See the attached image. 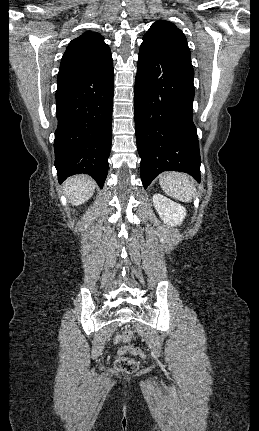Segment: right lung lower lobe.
Returning a JSON list of instances; mask_svg holds the SVG:
<instances>
[{"mask_svg":"<svg viewBox=\"0 0 259 431\" xmlns=\"http://www.w3.org/2000/svg\"><path fill=\"white\" fill-rule=\"evenodd\" d=\"M113 92V65L58 80L54 150L60 183L86 173L103 187L111 150Z\"/></svg>","mask_w":259,"mask_h":431,"instance_id":"1","label":"right lung lower lobe"}]
</instances>
